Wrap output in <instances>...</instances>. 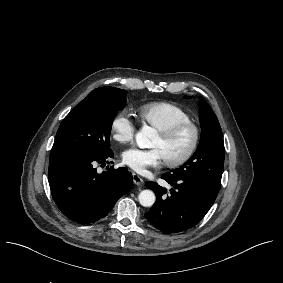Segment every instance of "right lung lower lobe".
I'll return each instance as SVG.
<instances>
[{
  "label": "right lung lower lobe",
  "mask_w": 283,
  "mask_h": 283,
  "mask_svg": "<svg viewBox=\"0 0 283 283\" xmlns=\"http://www.w3.org/2000/svg\"><path fill=\"white\" fill-rule=\"evenodd\" d=\"M114 157L93 152H73L50 156L48 180L52 196L61 212L74 222L87 224L106 216L117 200L133 184L124 167L99 174L96 165ZM112 163V162H111Z\"/></svg>",
  "instance_id": "obj_1"
}]
</instances>
